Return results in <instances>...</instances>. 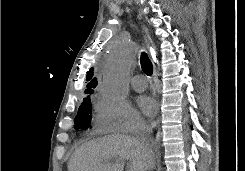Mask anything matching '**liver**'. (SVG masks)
I'll use <instances>...</instances> for the list:
<instances>
[{"label": "liver", "instance_id": "liver-1", "mask_svg": "<svg viewBox=\"0 0 245 171\" xmlns=\"http://www.w3.org/2000/svg\"><path fill=\"white\" fill-rule=\"evenodd\" d=\"M125 161L130 162L128 171H150L155 166L154 155L151 159L145 157L136 138L110 135L90 140L76 149L68 171H123Z\"/></svg>", "mask_w": 245, "mask_h": 171}]
</instances>
